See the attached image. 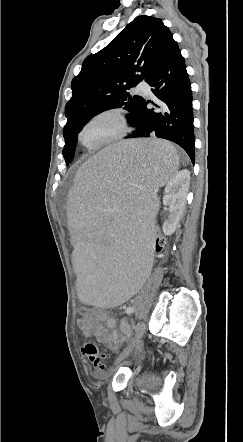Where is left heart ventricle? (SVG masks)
I'll return each mask as SVG.
<instances>
[{
    "label": "left heart ventricle",
    "instance_id": "1",
    "mask_svg": "<svg viewBox=\"0 0 243 442\" xmlns=\"http://www.w3.org/2000/svg\"><path fill=\"white\" fill-rule=\"evenodd\" d=\"M119 131V123L113 117H102L90 123L82 133V140L87 145L104 141Z\"/></svg>",
    "mask_w": 243,
    "mask_h": 442
}]
</instances>
